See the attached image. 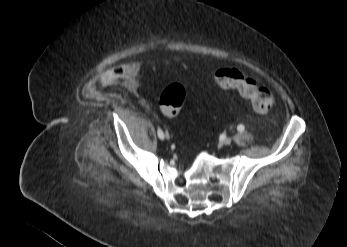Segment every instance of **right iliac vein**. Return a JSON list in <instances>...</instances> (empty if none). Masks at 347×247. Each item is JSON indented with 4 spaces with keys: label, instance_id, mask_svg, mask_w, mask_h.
I'll return each mask as SVG.
<instances>
[{
    "label": "right iliac vein",
    "instance_id": "right-iliac-vein-1",
    "mask_svg": "<svg viewBox=\"0 0 347 247\" xmlns=\"http://www.w3.org/2000/svg\"><path fill=\"white\" fill-rule=\"evenodd\" d=\"M166 137H168V133H166Z\"/></svg>",
    "mask_w": 347,
    "mask_h": 247
}]
</instances>
